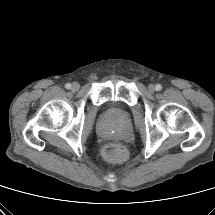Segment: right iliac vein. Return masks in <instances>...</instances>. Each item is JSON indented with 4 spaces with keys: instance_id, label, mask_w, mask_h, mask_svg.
<instances>
[{
    "instance_id": "63e3f726",
    "label": "right iliac vein",
    "mask_w": 215,
    "mask_h": 215,
    "mask_svg": "<svg viewBox=\"0 0 215 215\" xmlns=\"http://www.w3.org/2000/svg\"><path fill=\"white\" fill-rule=\"evenodd\" d=\"M79 88H80L79 83H77V82L73 83V85H72L73 90L77 91Z\"/></svg>"
}]
</instances>
